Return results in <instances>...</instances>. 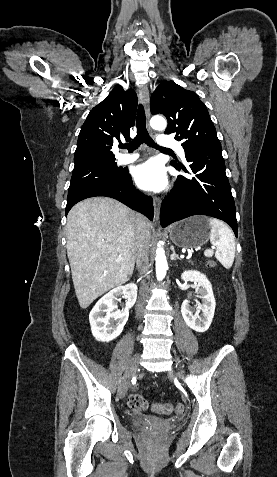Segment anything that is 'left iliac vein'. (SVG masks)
Instances as JSON below:
<instances>
[{
	"label": "left iliac vein",
	"mask_w": 277,
	"mask_h": 477,
	"mask_svg": "<svg viewBox=\"0 0 277 477\" xmlns=\"http://www.w3.org/2000/svg\"><path fill=\"white\" fill-rule=\"evenodd\" d=\"M175 361H176V362L179 364V361H178V359H177V358H175Z\"/></svg>",
	"instance_id": "4c4485c4"
}]
</instances>
